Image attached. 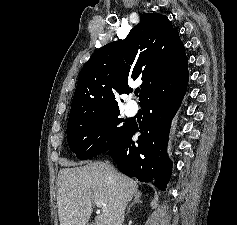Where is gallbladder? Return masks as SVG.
<instances>
[{
	"instance_id": "1",
	"label": "gallbladder",
	"mask_w": 237,
	"mask_h": 225,
	"mask_svg": "<svg viewBox=\"0 0 237 225\" xmlns=\"http://www.w3.org/2000/svg\"><path fill=\"white\" fill-rule=\"evenodd\" d=\"M87 225H94L93 223H88Z\"/></svg>"
}]
</instances>
